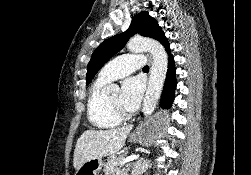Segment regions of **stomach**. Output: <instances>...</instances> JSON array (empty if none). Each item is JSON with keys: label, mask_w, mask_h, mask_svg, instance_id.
<instances>
[{"label": "stomach", "mask_w": 251, "mask_h": 175, "mask_svg": "<svg viewBox=\"0 0 251 175\" xmlns=\"http://www.w3.org/2000/svg\"><path fill=\"white\" fill-rule=\"evenodd\" d=\"M165 125L166 119H163L160 115H154V117L146 121V123H141L136 131H133L129 137L131 141H137V143H142V145H150L154 139L162 137ZM104 165L105 163L102 157L86 159V161L78 167L75 175H99Z\"/></svg>", "instance_id": "obj_1"}]
</instances>
